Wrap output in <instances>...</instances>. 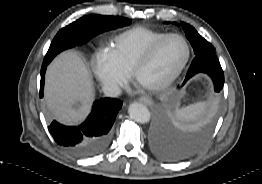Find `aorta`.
<instances>
[{
  "label": "aorta",
  "instance_id": "762f6f07",
  "mask_svg": "<svg viewBox=\"0 0 262 184\" xmlns=\"http://www.w3.org/2000/svg\"><path fill=\"white\" fill-rule=\"evenodd\" d=\"M128 113L134 121L141 124L148 123L151 117L148 108L144 104L138 102H133L129 105Z\"/></svg>",
  "mask_w": 262,
  "mask_h": 184
}]
</instances>
